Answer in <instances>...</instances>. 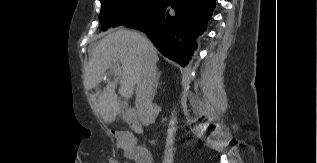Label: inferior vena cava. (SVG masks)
<instances>
[{"label":"inferior vena cava","instance_id":"inferior-vena-cava-1","mask_svg":"<svg viewBox=\"0 0 317 163\" xmlns=\"http://www.w3.org/2000/svg\"><path fill=\"white\" fill-rule=\"evenodd\" d=\"M148 53L141 70L140 78L136 87V108L140 121L148 125L153 117L152 99L154 96V82L156 77V61L149 52L150 45L145 43Z\"/></svg>","mask_w":317,"mask_h":163}]
</instances>
